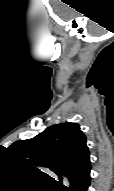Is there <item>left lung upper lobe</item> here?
I'll use <instances>...</instances> for the list:
<instances>
[{"label": "left lung upper lobe", "mask_w": 114, "mask_h": 191, "mask_svg": "<svg viewBox=\"0 0 114 191\" xmlns=\"http://www.w3.org/2000/svg\"><path fill=\"white\" fill-rule=\"evenodd\" d=\"M19 162L36 169L50 168L60 179L70 178L89 159L86 137L77 123H61L48 127L34 138L19 140L8 147ZM62 186L61 182H58Z\"/></svg>", "instance_id": "5c2ea615"}]
</instances>
